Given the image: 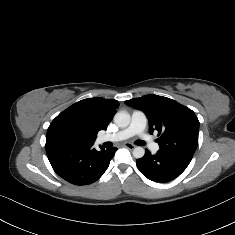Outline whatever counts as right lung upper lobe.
Returning a JSON list of instances; mask_svg holds the SVG:
<instances>
[{"label": "right lung upper lobe", "mask_w": 235, "mask_h": 235, "mask_svg": "<svg viewBox=\"0 0 235 235\" xmlns=\"http://www.w3.org/2000/svg\"><path fill=\"white\" fill-rule=\"evenodd\" d=\"M119 102L113 99L88 98L81 100L61 112L50 124L46 143L63 139L66 128H74L89 142L94 143L97 133L106 130L114 117Z\"/></svg>", "instance_id": "right-lung-upper-lobe-1"}]
</instances>
